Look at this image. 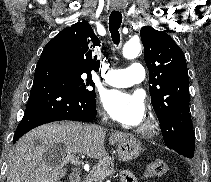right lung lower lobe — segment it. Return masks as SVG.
Instances as JSON below:
<instances>
[{
    "label": "right lung lower lobe",
    "instance_id": "98d812e1",
    "mask_svg": "<svg viewBox=\"0 0 211 182\" xmlns=\"http://www.w3.org/2000/svg\"><path fill=\"white\" fill-rule=\"evenodd\" d=\"M95 117V98L81 93L65 65L54 53L44 49L37 63L29 101L13 142L45 123L60 120L92 122Z\"/></svg>",
    "mask_w": 211,
    "mask_h": 182
}]
</instances>
